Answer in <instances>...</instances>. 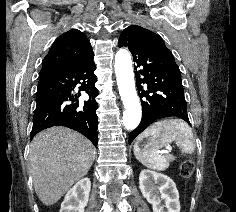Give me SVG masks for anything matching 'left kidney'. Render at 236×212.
Here are the masks:
<instances>
[{"label": "left kidney", "mask_w": 236, "mask_h": 212, "mask_svg": "<svg viewBox=\"0 0 236 212\" xmlns=\"http://www.w3.org/2000/svg\"><path fill=\"white\" fill-rule=\"evenodd\" d=\"M139 187L142 195L152 204L153 212H164V208L167 212H180L176 184L167 175L144 169L139 175Z\"/></svg>", "instance_id": "5707ae66"}]
</instances>
